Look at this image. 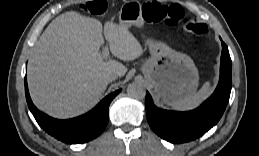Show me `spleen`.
<instances>
[{
  "label": "spleen",
  "instance_id": "1",
  "mask_svg": "<svg viewBox=\"0 0 259 156\" xmlns=\"http://www.w3.org/2000/svg\"><path fill=\"white\" fill-rule=\"evenodd\" d=\"M210 83L206 82L202 88L194 95L184 98L170 105L174 110L187 111L198 107L209 97Z\"/></svg>",
  "mask_w": 259,
  "mask_h": 156
}]
</instances>
